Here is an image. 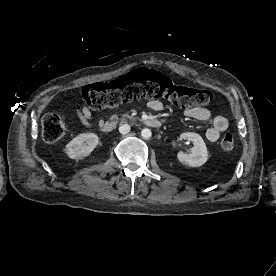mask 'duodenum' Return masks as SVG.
Masks as SVG:
<instances>
[{"label":"duodenum","instance_id":"1","mask_svg":"<svg viewBox=\"0 0 276 276\" xmlns=\"http://www.w3.org/2000/svg\"><path fill=\"white\" fill-rule=\"evenodd\" d=\"M142 123L146 126L153 127V128H158L161 126V122L159 120L151 119V118L143 119ZM116 126H117L116 121H107L101 125V130L104 133H110V132L114 131Z\"/></svg>","mask_w":276,"mask_h":276}]
</instances>
